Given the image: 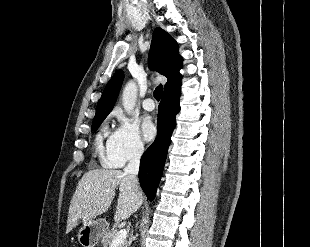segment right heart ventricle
<instances>
[{"label": "right heart ventricle", "mask_w": 310, "mask_h": 247, "mask_svg": "<svg viewBox=\"0 0 310 247\" xmlns=\"http://www.w3.org/2000/svg\"><path fill=\"white\" fill-rule=\"evenodd\" d=\"M105 129H103L100 133L97 134L95 138V146L96 149L101 153L104 150L103 140H104Z\"/></svg>", "instance_id": "obj_1"}]
</instances>
